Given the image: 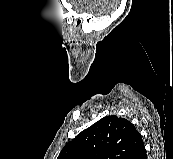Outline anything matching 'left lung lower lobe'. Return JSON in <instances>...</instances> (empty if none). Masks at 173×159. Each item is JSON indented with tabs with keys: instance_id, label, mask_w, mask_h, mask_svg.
<instances>
[{
	"instance_id": "0a47b994",
	"label": "left lung lower lobe",
	"mask_w": 173,
	"mask_h": 159,
	"mask_svg": "<svg viewBox=\"0 0 173 159\" xmlns=\"http://www.w3.org/2000/svg\"><path fill=\"white\" fill-rule=\"evenodd\" d=\"M131 159H147L146 149L144 144L139 148L135 155Z\"/></svg>"
}]
</instances>
